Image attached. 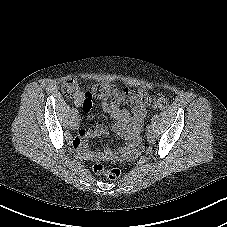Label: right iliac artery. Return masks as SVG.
<instances>
[{
    "instance_id": "82829eb1",
    "label": "right iliac artery",
    "mask_w": 227,
    "mask_h": 227,
    "mask_svg": "<svg viewBox=\"0 0 227 227\" xmlns=\"http://www.w3.org/2000/svg\"><path fill=\"white\" fill-rule=\"evenodd\" d=\"M77 114H78V113H76L75 119H76V120H79V119H80V116L77 115Z\"/></svg>"
}]
</instances>
